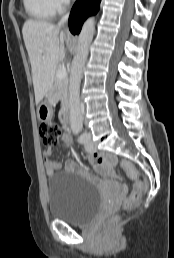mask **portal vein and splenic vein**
<instances>
[{"label": "portal vein and splenic vein", "instance_id": "1", "mask_svg": "<svg viewBox=\"0 0 174 258\" xmlns=\"http://www.w3.org/2000/svg\"><path fill=\"white\" fill-rule=\"evenodd\" d=\"M56 75H57L58 78L64 79V78L67 76L66 69H59V70L56 72Z\"/></svg>", "mask_w": 174, "mask_h": 258}]
</instances>
